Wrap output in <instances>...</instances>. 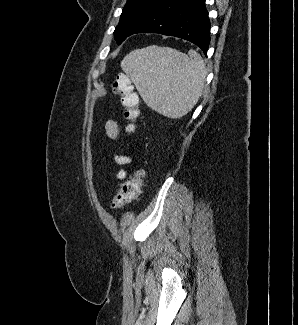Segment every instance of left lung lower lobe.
<instances>
[{
	"label": "left lung lower lobe",
	"mask_w": 298,
	"mask_h": 325,
	"mask_svg": "<svg viewBox=\"0 0 298 325\" xmlns=\"http://www.w3.org/2000/svg\"><path fill=\"white\" fill-rule=\"evenodd\" d=\"M210 22L204 0H162L136 27L137 33H159L196 44L207 56Z\"/></svg>",
	"instance_id": "0a47b994"
}]
</instances>
